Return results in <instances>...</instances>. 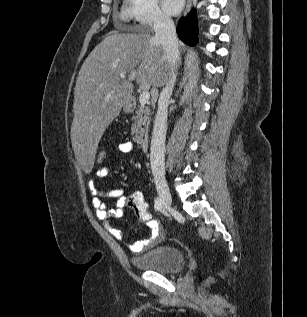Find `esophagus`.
<instances>
[{
    "label": "esophagus",
    "instance_id": "esophagus-1",
    "mask_svg": "<svg viewBox=\"0 0 307 317\" xmlns=\"http://www.w3.org/2000/svg\"><path fill=\"white\" fill-rule=\"evenodd\" d=\"M191 8V0H187V5L184 14H187Z\"/></svg>",
    "mask_w": 307,
    "mask_h": 317
}]
</instances>
